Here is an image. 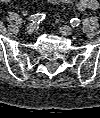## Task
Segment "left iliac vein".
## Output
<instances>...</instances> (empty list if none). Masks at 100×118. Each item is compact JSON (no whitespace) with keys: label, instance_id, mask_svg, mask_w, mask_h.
<instances>
[{"label":"left iliac vein","instance_id":"obj_1","mask_svg":"<svg viewBox=\"0 0 100 118\" xmlns=\"http://www.w3.org/2000/svg\"><path fill=\"white\" fill-rule=\"evenodd\" d=\"M60 33L63 35V36H69L73 33V29L70 27V26H61L60 27Z\"/></svg>","mask_w":100,"mask_h":118}]
</instances>
